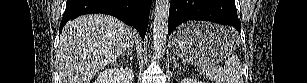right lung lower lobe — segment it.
Masks as SVG:
<instances>
[{
    "mask_svg": "<svg viewBox=\"0 0 307 83\" xmlns=\"http://www.w3.org/2000/svg\"><path fill=\"white\" fill-rule=\"evenodd\" d=\"M152 0H67L61 30L72 18L83 14L104 13L135 27L145 37Z\"/></svg>",
    "mask_w": 307,
    "mask_h": 83,
    "instance_id": "98d812e1",
    "label": "right lung lower lobe"
}]
</instances>
